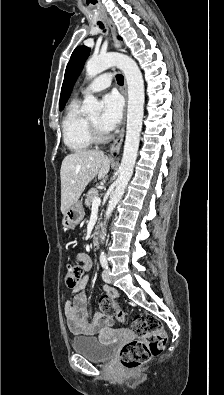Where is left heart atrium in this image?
<instances>
[{
  "label": "left heart atrium",
  "instance_id": "left-heart-atrium-1",
  "mask_svg": "<svg viewBox=\"0 0 224 395\" xmlns=\"http://www.w3.org/2000/svg\"><path fill=\"white\" fill-rule=\"evenodd\" d=\"M123 112V101L116 92H111L103 97V112L100 117V128L109 132L119 123Z\"/></svg>",
  "mask_w": 224,
  "mask_h": 395
}]
</instances>
